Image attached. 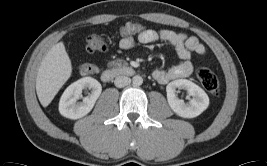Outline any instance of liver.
I'll return each instance as SVG.
<instances>
[{
	"instance_id": "6515ba94",
	"label": "liver",
	"mask_w": 267,
	"mask_h": 166,
	"mask_svg": "<svg viewBox=\"0 0 267 166\" xmlns=\"http://www.w3.org/2000/svg\"><path fill=\"white\" fill-rule=\"evenodd\" d=\"M72 74L71 60L63 42L55 44L45 55L36 77V92L47 107Z\"/></svg>"
}]
</instances>
